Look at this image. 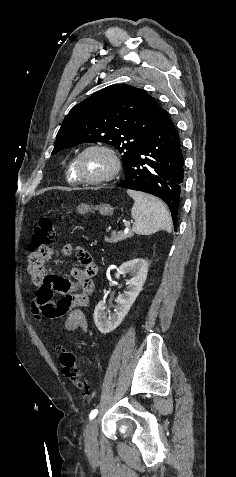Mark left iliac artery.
<instances>
[{
	"label": "left iliac artery",
	"instance_id": "obj_1",
	"mask_svg": "<svg viewBox=\"0 0 236 477\" xmlns=\"http://www.w3.org/2000/svg\"><path fill=\"white\" fill-rule=\"evenodd\" d=\"M98 414V410L97 409H94L91 411L90 415H89V420H93L94 417Z\"/></svg>",
	"mask_w": 236,
	"mask_h": 477
}]
</instances>
